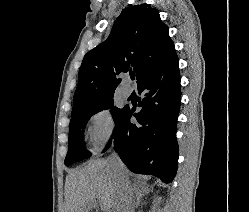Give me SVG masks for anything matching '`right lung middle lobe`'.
I'll return each instance as SVG.
<instances>
[{"mask_svg": "<svg viewBox=\"0 0 249 212\" xmlns=\"http://www.w3.org/2000/svg\"><path fill=\"white\" fill-rule=\"evenodd\" d=\"M109 108L116 123L123 115L124 108L113 107V96L83 108L72 109L69 125L68 153L64 161L66 166L91 156V153L85 150V143L83 142L84 128L92 115Z\"/></svg>", "mask_w": 249, "mask_h": 212, "instance_id": "dd1d6c3e", "label": "right lung middle lobe"}]
</instances>
